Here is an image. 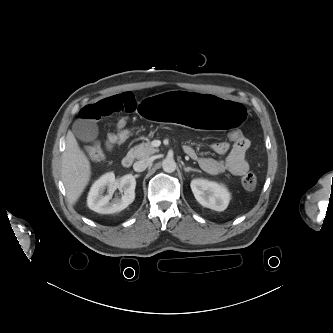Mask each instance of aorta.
I'll return each instance as SVG.
<instances>
[{
	"instance_id": "aorta-1",
	"label": "aorta",
	"mask_w": 333,
	"mask_h": 333,
	"mask_svg": "<svg viewBox=\"0 0 333 333\" xmlns=\"http://www.w3.org/2000/svg\"><path fill=\"white\" fill-rule=\"evenodd\" d=\"M162 168L166 173H172L176 170V162L172 158H167L163 160Z\"/></svg>"
}]
</instances>
